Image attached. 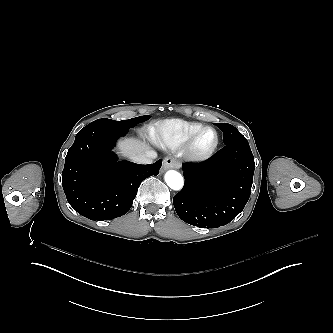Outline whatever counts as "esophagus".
Wrapping results in <instances>:
<instances>
[{"instance_id": "34e87169", "label": "esophagus", "mask_w": 333, "mask_h": 333, "mask_svg": "<svg viewBox=\"0 0 333 333\" xmlns=\"http://www.w3.org/2000/svg\"><path fill=\"white\" fill-rule=\"evenodd\" d=\"M180 167H181V162L173 159L172 157L167 156L163 160V170L178 169Z\"/></svg>"}]
</instances>
